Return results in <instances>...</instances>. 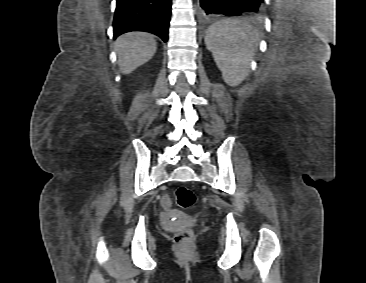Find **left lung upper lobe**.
<instances>
[{
  "mask_svg": "<svg viewBox=\"0 0 366 283\" xmlns=\"http://www.w3.org/2000/svg\"><path fill=\"white\" fill-rule=\"evenodd\" d=\"M255 18H259L262 15V12L252 14Z\"/></svg>",
  "mask_w": 366,
  "mask_h": 283,
  "instance_id": "5c2ea615",
  "label": "left lung upper lobe"
}]
</instances>
